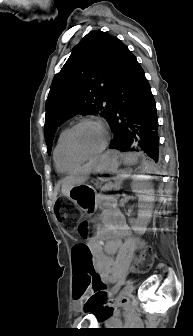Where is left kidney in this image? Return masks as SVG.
Here are the masks:
<instances>
[{"label":"left kidney","instance_id":"1","mask_svg":"<svg viewBox=\"0 0 193 336\" xmlns=\"http://www.w3.org/2000/svg\"><path fill=\"white\" fill-rule=\"evenodd\" d=\"M139 180V181H137ZM147 180V177L136 179V183L132 184V189L134 192H138L139 195V206L140 219L145 222H149L152 216V208L154 202V191L150 183L143 182Z\"/></svg>","mask_w":193,"mask_h":336}]
</instances>
